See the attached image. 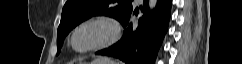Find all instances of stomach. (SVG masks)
Listing matches in <instances>:
<instances>
[{
	"mask_svg": "<svg viewBox=\"0 0 242 64\" xmlns=\"http://www.w3.org/2000/svg\"><path fill=\"white\" fill-rule=\"evenodd\" d=\"M105 59L107 58L96 59L91 64H112V63L106 62Z\"/></svg>",
	"mask_w": 242,
	"mask_h": 64,
	"instance_id": "obj_1",
	"label": "stomach"
}]
</instances>
